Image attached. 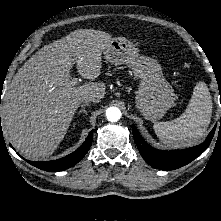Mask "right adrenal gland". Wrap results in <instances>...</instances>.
Here are the masks:
<instances>
[{"label":"right adrenal gland","instance_id":"right-adrenal-gland-1","mask_svg":"<svg viewBox=\"0 0 221 221\" xmlns=\"http://www.w3.org/2000/svg\"><path fill=\"white\" fill-rule=\"evenodd\" d=\"M87 104H82L81 105V109L78 111V114L80 115V114H84V116L86 117L87 115H88V112H87V110H86V108H85V106H86Z\"/></svg>","mask_w":221,"mask_h":221}]
</instances>
